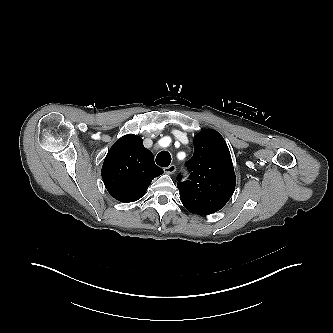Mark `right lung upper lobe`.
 <instances>
[{
    "label": "right lung upper lobe",
    "instance_id": "right-lung-upper-lobe-1",
    "mask_svg": "<svg viewBox=\"0 0 333 333\" xmlns=\"http://www.w3.org/2000/svg\"><path fill=\"white\" fill-rule=\"evenodd\" d=\"M162 173L142 139L133 134L121 137L110 148L101 170L110 195L124 203L140 199L151 181Z\"/></svg>",
    "mask_w": 333,
    "mask_h": 333
}]
</instances>
